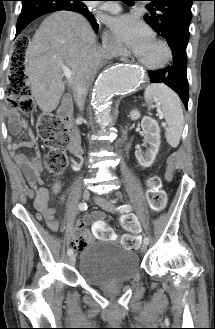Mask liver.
Masks as SVG:
<instances>
[{
	"label": "liver",
	"instance_id": "6515ba94",
	"mask_svg": "<svg viewBox=\"0 0 215 329\" xmlns=\"http://www.w3.org/2000/svg\"><path fill=\"white\" fill-rule=\"evenodd\" d=\"M97 47L92 27L78 13L56 12L41 23L28 45L25 70L31 94L44 113L54 111L64 93L63 66L71 70L73 86L83 59Z\"/></svg>",
	"mask_w": 215,
	"mask_h": 329
}]
</instances>
